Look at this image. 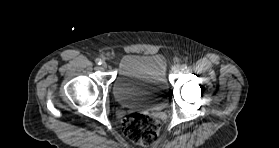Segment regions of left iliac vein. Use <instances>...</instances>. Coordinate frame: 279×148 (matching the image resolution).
<instances>
[{
	"label": "left iliac vein",
	"mask_w": 279,
	"mask_h": 148,
	"mask_svg": "<svg viewBox=\"0 0 279 148\" xmlns=\"http://www.w3.org/2000/svg\"><path fill=\"white\" fill-rule=\"evenodd\" d=\"M181 70H182V66L179 65V64L175 65L174 68H173V71H174V73H176V74H177V73H180Z\"/></svg>",
	"instance_id": "1"
}]
</instances>
